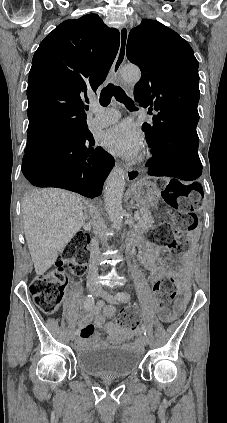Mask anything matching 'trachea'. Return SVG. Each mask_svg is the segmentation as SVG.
<instances>
[{"instance_id":"obj_1","label":"trachea","mask_w":227,"mask_h":423,"mask_svg":"<svg viewBox=\"0 0 227 423\" xmlns=\"http://www.w3.org/2000/svg\"><path fill=\"white\" fill-rule=\"evenodd\" d=\"M112 97H115L117 102L123 103L128 110H138L133 100L126 95L121 87L110 83L101 91L99 102L103 107H107Z\"/></svg>"}]
</instances>
